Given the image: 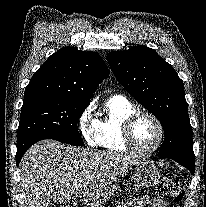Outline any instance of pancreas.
Wrapping results in <instances>:
<instances>
[{"mask_svg":"<svg viewBox=\"0 0 206 207\" xmlns=\"http://www.w3.org/2000/svg\"><path fill=\"white\" fill-rule=\"evenodd\" d=\"M132 205H133V202L127 201V202L118 203L115 207H131Z\"/></svg>","mask_w":206,"mask_h":207,"instance_id":"obj_1","label":"pancreas"}]
</instances>
